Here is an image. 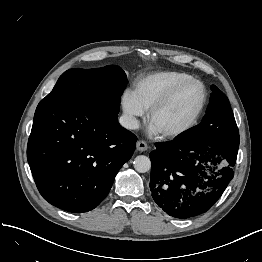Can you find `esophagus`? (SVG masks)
<instances>
[{
	"label": "esophagus",
	"instance_id": "esophagus-1",
	"mask_svg": "<svg viewBox=\"0 0 262 262\" xmlns=\"http://www.w3.org/2000/svg\"><path fill=\"white\" fill-rule=\"evenodd\" d=\"M136 147L140 152L146 151L148 149V145L144 141H137Z\"/></svg>",
	"mask_w": 262,
	"mask_h": 262
}]
</instances>
